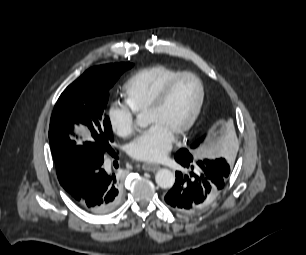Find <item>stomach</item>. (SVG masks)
Masks as SVG:
<instances>
[{
    "instance_id": "obj_1",
    "label": "stomach",
    "mask_w": 306,
    "mask_h": 255,
    "mask_svg": "<svg viewBox=\"0 0 306 255\" xmlns=\"http://www.w3.org/2000/svg\"><path fill=\"white\" fill-rule=\"evenodd\" d=\"M211 143L210 144H207L205 147V151H204V153H208L209 152V150H210V147H211Z\"/></svg>"
}]
</instances>
